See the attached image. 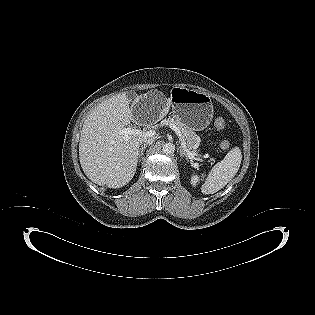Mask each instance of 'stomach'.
<instances>
[{"instance_id": "stomach-1", "label": "stomach", "mask_w": 315, "mask_h": 315, "mask_svg": "<svg viewBox=\"0 0 315 315\" xmlns=\"http://www.w3.org/2000/svg\"><path fill=\"white\" fill-rule=\"evenodd\" d=\"M169 100L174 117L179 118L192 130L205 129L213 118L211 97L204 92L174 87L170 92Z\"/></svg>"}]
</instances>
